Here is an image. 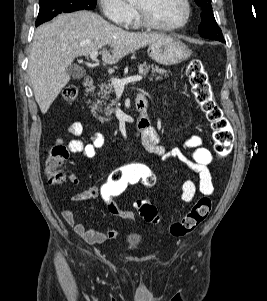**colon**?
Masks as SVG:
<instances>
[{
  "label": "colon",
  "instance_id": "1",
  "mask_svg": "<svg viewBox=\"0 0 267 301\" xmlns=\"http://www.w3.org/2000/svg\"><path fill=\"white\" fill-rule=\"evenodd\" d=\"M186 74L194 98L210 123L214 151L219 157H225L231 152L234 134L229 120L214 100L209 75L199 59L189 60ZM77 96L78 89L74 85L66 86L62 91V97L66 101L73 102ZM68 156V150L61 141H56L49 147L45 159V171L51 184L65 182L66 174L62 167ZM154 183L155 174L147 165L138 162L126 163L117 167L107 181L99 187V198L106 210L112 213L118 207L120 198L131 187L137 184L151 187ZM135 206L146 222L151 224L160 222L156 206L148 199L137 200ZM211 206L212 203L208 197L198 199L181 220L170 225V233L175 237L190 234L205 221L211 211Z\"/></svg>",
  "mask_w": 267,
  "mask_h": 301
}]
</instances>
